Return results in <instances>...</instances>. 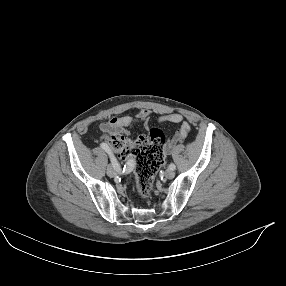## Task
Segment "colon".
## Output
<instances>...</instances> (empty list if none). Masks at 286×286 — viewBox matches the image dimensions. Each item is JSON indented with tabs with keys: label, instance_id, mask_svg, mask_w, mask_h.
<instances>
[{
	"label": "colon",
	"instance_id": "obj_1",
	"mask_svg": "<svg viewBox=\"0 0 286 286\" xmlns=\"http://www.w3.org/2000/svg\"><path fill=\"white\" fill-rule=\"evenodd\" d=\"M112 151L122 159L136 160V191L140 198L149 199L157 169L164 158L165 135L159 128H152L148 136L130 139L110 135L107 139Z\"/></svg>",
	"mask_w": 286,
	"mask_h": 286
}]
</instances>
